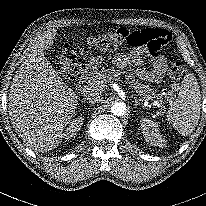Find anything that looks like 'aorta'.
<instances>
[{"mask_svg": "<svg viewBox=\"0 0 206 206\" xmlns=\"http://www.w3.org/2000/svg\"><path fill=\"white\" fill-rule=\"evenodd\" d=\"M111 113L116 116H122L126 113V104L123 102H116L111 106Z\"/></svg>", "mask_w": 206, "mask_h": 206, "instance_id": "1", "label": "aorta"}]
</instances>
